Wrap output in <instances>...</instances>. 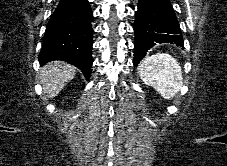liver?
<instances>
[{
	"mask_svg": "<svg viewBox=\"0 0 227 166\" xmlns=\"http://www.w3.org/2000/svg\"><path fill=\"white\" fill-rule=\"evenodd\" d=\"M76 74V68L64 61H53L41 68L40 77L44 94L55 97Z\"/></svg>",
	"mask_w": 227,
	"mask_h": 166,
	"instance_id": "1",
	"label": "liver"
}]
</instances>
